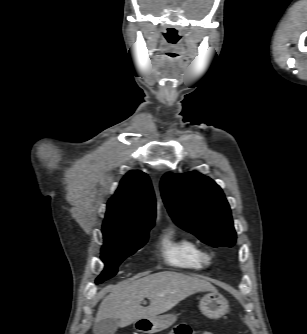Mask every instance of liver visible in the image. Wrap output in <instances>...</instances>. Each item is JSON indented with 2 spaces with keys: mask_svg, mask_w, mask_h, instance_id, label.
<instances>
[{
  "mask_svg": "<svg viewBox=\"0 0 307 334\" xmlns=\"http://www.w3.org/2000/svg\"><path fill=\"white\" fill-rule=\"evenodd\" d=\"M199 291L217 292L211 283L197 277L173 271L154 273L113 287L102 300L95 322L118 319L119 326L126 327L156 317ZM144 298L150 300L148 307L141 305Z\"/></svg>",
  "mask_w": 307,
  "mask_h": 334,
  "instance_id": "1",
  "label": "liver"
}]
</instances>
